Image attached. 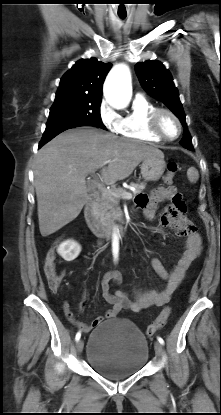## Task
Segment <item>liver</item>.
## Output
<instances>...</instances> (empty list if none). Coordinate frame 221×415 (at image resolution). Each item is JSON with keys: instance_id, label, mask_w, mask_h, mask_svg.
Instances as JSON below:
<instances>
[{"instance_id": "liver-1", "label": "liver", "mask_w": 221, "mask_h": 415, "mask_svg": "<svg viewBox=\"0 0 221 415\" xmlns=\"http://www.w3.org/2000/svg\"><path fill=\"white\" fill-rule=\"evenodd\" d=\"M163 155L154 146L118 138L92 127L61 133L42 147L35 158V191L39 229L49 236L73 221L88 201L85 178L105 161V184L129 177L145 158Z\"/></svg>"}]
</instances>
